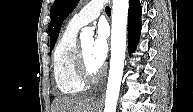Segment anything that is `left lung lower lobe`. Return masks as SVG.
Returning a JSON list of instances; mask_svg holds the SVG:
<instances>
[{
	"mask_svg": "<svg viewBox=\"0 0 193 112\" xmlns=\"http://www.w3.org/2000/svg\"><path fill=\"white\" fill-rule=\"evenodd\" d=\"M142 8L139 0H129L128 12V48L133 52L139 40Z\"/></svg>",
	"mask_w": 193,
	"mask_h": 112,
	"instance_id": "left-lung-lower-lobe-1",
	"label": "left lung lower lobe"
}]
</instances>
